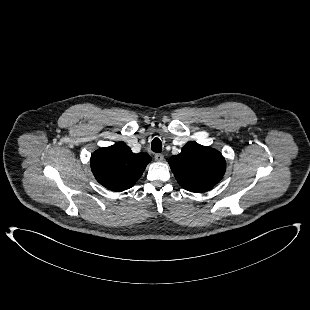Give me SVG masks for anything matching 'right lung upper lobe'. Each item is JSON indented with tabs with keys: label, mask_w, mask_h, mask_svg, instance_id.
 I'll return each instance as SVG.
<instances>
[{
	"label": "right lung upper lobe",
	"mask_w": 310,
	"mask_h": 310,
	"mask_svg": "<svg viewBox=\"0 0 310 310\" xmlns=\"http://www.w3.org/2000/svg\"><path fill=\"white\" fill-rule=\"evenodd\" d=\"M151 157L146 153L134 154L123 142L96 150L90 160L96 180L115 192L131 188L144 172Z\"/></svg>",
	"instance_id": "cb5924a9"
}]
</instances>
